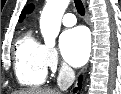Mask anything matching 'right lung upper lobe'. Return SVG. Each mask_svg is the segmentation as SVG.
Returning a JSON list of instances; mask_svg holds the SVG:
<instances>
[{
    "label": "right lung upper lobe",
    "mask_w": 121,
    "mask_h": 94,
    "mask_svg": "<svg viewBox=\"0 0 121 94\" xmlns=\"http://www.w3.org/2000/svg\"><path fill=\"white\" fill-rule=\"evenodd\" d=\"M33 9H34V6L32 4H30L27 7H25L24 11L20 15V21L23 20V18L25 17L26 13H31Z\"/></svg>",
    "instance_id": "cb5924a9"
}]
</instances>
